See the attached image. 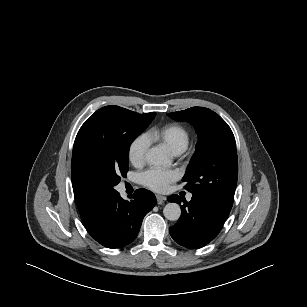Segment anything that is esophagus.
Returning <instances> with one entry per match:
<instances>
[{
  "label": "esophagus",
  "mask_w": 307,
  "mask_h": 307,
  "mask_svg": "<svg viewBox=\"0 0 307 307\" xmlns=\"http://www.w3.org/2000/svg\"><path fill=\"white\" fill-rule=\"evenodd\" d=\"M157 203L161 204L166 200V197L163 195H156Z\"/></svg>",
  "instance_id": "1"
}]
</instances>
